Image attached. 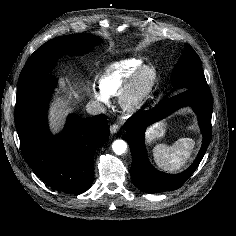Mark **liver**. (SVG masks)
Returning <instances> with one entry per match:
<instances>
[{
	"label": "liver",
	"mask_w": 236,
	"mask_h": 236,
	"mask_svg": "<svg viewBox=\"0 0 236 236\" xmlns=\"http://www.w3.org/2000/svg\"><path fill=\"white\" fill-rule=\"evenodd\" d=\"M62 90L64 93H66V97L68 98L66 100V102H69L72 100V98H77L78 97V93L76 91V87L75 86H71L69 85V87H65V84L62 83ZM60 101V100H59ZM55 102L53 107H52V111H51V127L54 128V130L57 129V127L60 125L61 120L66 116L67 114V110H65L64 108V103L63 102Z\"/></svg>",
	"instance_id": "liver-1"
}]
</instances>
